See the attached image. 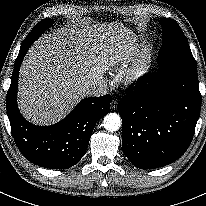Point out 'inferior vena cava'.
Here are the masks:
<instances>
[{"mask_svg": "<svg viewBox=\"0 0 206 206\" xmlns=\"http://www.w3.org/2000/svg\"><path fill=\"white\" fill-rule=\"evenodd\" d=\"M107 83L105 80H99L87 88L86 93L89 96L100 97L107 93Z\"/></svg>", "mask_w": 206, "mask_h": 206, "instance_id": "obj_1", "label": "inferior vena cava"}]
</instances>
